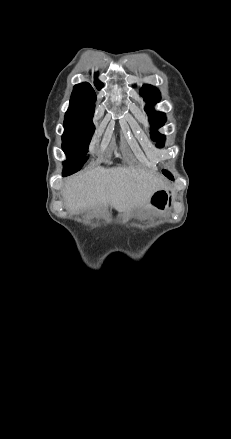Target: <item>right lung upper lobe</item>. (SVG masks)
Here are the masks:
<instances>
[{"instance_id":"cb5924a9","label":"right lung upper lobe","mask_w":231,"mask_h":439,"mask_svg":"<svg viewBox=\"0 0 231 439\" xmlns=\"http://www.w3.org/2000/svg\"><path fill=\"white\" fill-rule=\"evenodd\" d=\"M95 86L100 90L103 84L99 80H96ZM95 100V91L89 83L83 82L77 84L73 88L69 109L66 113L94 112Z\"/></svg>"}]
</instances>
